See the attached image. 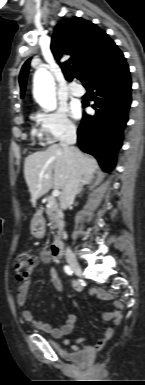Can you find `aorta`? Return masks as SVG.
<instances>
[{
    "label": "aorta",
    "mask_w": 145,
    "mask_h": 385,
    "mask_svg": "<svg viewBox=\"0 0 145 385\" xmlns=\"http://www.w3.org/2000/svg\"><path fill=\"white\" fill-rule=\"evenodd\" d=\"M33 95L45 111H53L57 108L54 78L44 67L38 68L34 74Z\"/></svg>",
    "instance_id": "762f6f07"
}]
</instances>
